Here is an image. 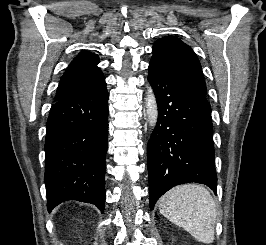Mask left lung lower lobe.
<instances>
[{
  "mask_svg": "<svg viewBox=\"0 0 266 245\" xmlns=\"http://www.w3.org/2000/svg\"><path fill=\"white\" fill-rule=\"evenodd\" d=\"M148 81L158 121L147 145L150 209L176 185L201 183L217 193L211 106L206 95L162 64L150 61Z\"/></svg>",
  "mask_w": 266,
  "mask_h": 245,
  "instance_id": "1",
  "label": "left lung lower lobe"
}]
</instances>
